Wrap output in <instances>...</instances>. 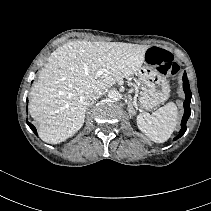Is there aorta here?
<instances>
[{
	"instance_id": "1",
	"label": "aorta",
	"mask_w": 211,
	"mask_h": 211,
	"mask_svg": "<svg viewBox=\"0 0 211 211\" xmlns=\"http://www.w3.org/2000/svg\"><path fill=\"white\" fill-rule=\"evenodd\" d=\"M108 97H109L111 100L117 101V100L120 99L121 95H120V93H119L118 91H116V90H111V91L108 92Z\"/></svg>"
}]
</instances>
